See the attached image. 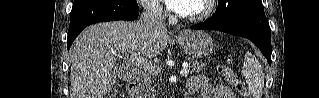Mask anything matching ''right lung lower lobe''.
Returning a JSON list of instances; mask_svg holds the SVG:
<instances>
[{
  "label": "right lung lower lobe",
  "mask_w": 319,
  "mask_h": 98,
  "mask_svg": "<svg viewBox=\"0 0 319 98\" xmlns=\"http://www.w3.org/2000/svg\"><path fill=\"white\" fill-rule=\"evenodd\" d=\"M138 17L136 1L123 0H79L73 3L67 48L88 25L114 20H135Z\"/></svg>",
  "instance_id": "right-lung-lower-lobe-1"
}]
</instances>
